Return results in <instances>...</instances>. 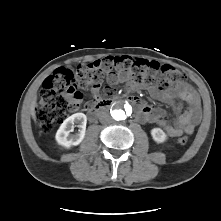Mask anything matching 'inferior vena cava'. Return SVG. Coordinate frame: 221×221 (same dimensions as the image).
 <instances>
[{"label":"inferior vena cava","mask_w":221,"mask_h":221,"mask_svg":"<svg viewBox=\"0 0 221 221\" xmlns=\"http://www.w3.org/2000/svg\"><path fill=\"white\" fill-rule=\"evenodd\" d=\"M99 120L101 123H108L111 121V117H110L109 113L103 111L99 114Z\"/></svg>","instance_id":"obj_1"}]
</instances>
